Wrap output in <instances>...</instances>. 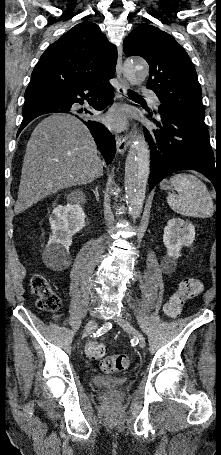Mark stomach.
<instances>
[{
    "mask_svg": "<svg viewBox=\"0 0 221 455\" xmlns=\"http://www.w3.org/2000/svg\"><path fill=\"white\" fill-rule=\"evenodd\" d=\"M161 189L166 190L170 188L168 181H163L160 185Z\"/></svg>",
    "mask_w": 221,
    "mask_h": 455,
    "instance_id": "stomach-1",
    "label": "stomach"
}]
</instances>
